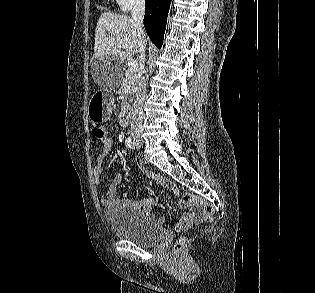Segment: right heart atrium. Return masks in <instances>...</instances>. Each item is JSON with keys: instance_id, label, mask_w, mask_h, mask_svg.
<instances>
[{"instance_id": "d8ad5b80", "label": "right heart atrium", "mask_w": 315, "mask_h": 293, "mask_svg": "<svg viewBox=\"0 0 315 293\" xmlns=\"http://www.w3.org/2000/svg\"><path fill=\"white\" fill-rule=\"evenodd\" d=\"M118 7L123 11H129L134 5L142 3L144 0H115Z\"/></svg>"}]
</instances>
